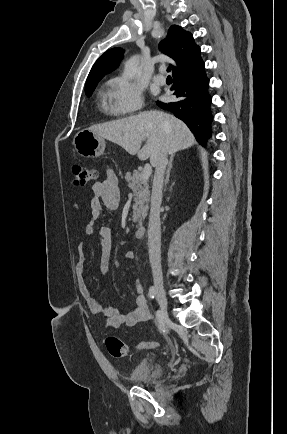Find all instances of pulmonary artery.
I'll return each mask as SVG.
<instances>
[{
	"label": "pulmonary artery",
	"instance_id": "1",
	"mask_svg": "<svg viewBox=\"0 0 287 434\" xmlns=\"http://www.w3.org/2000/svg\"><path fill=\"white\" fill-rule=\"evenodd\" d=\"M164 70H160V73L154 76V80L159 84H164L166 82V78L163 75Z\"/></svg>",
	"mask_w": 287,
	"mask_h": 434
}]
</instances>
